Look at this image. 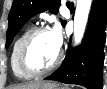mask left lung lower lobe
Returning <instances> with one entry per match:
<instances>
[{"label":"left lung lower lobe","instance_id":"left-lung-lower-lobe-1","mask_svg":"<svg viewBox=\"0 0 107 89\" xmlns=\"http://www.w3.org/2000/svg\"><path fill=\"white\" fill-rule=\"evenodd\" d=\"M106 24L107 0H94L82 43L78 48H69L60 68L45 80L102 89Z\"/></svg>","mask_w":107,"mask_h":89}]
</instances>
